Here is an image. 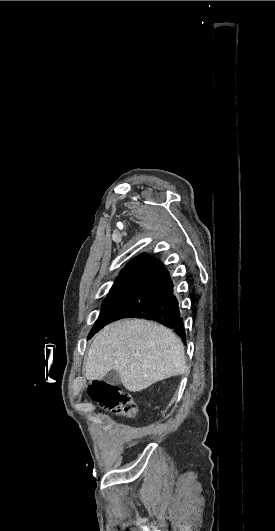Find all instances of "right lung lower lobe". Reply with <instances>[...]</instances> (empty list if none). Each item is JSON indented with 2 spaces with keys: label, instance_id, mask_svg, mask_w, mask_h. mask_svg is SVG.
Instances as JSON below:
<instances>
[{
  "label": "right lung lower lobe",
  "instance_id": "98d812e1",
  "mask_svg": "<svg viewBox=\"0 0 275 531\" xmlns=\"http://www.w3.org/2000/svg\"><path fill=\"white\" fill-rule=\"evenodd\" d=\"M147 318L171 329L186 342L183 318L173 283L164 265L155 260L109 309L98 331L105 325L122 318ZM97 331V332H98Z\"/></svg>",
  "mask_w": 275,
  "mask_h": 531
}]
</instances>
